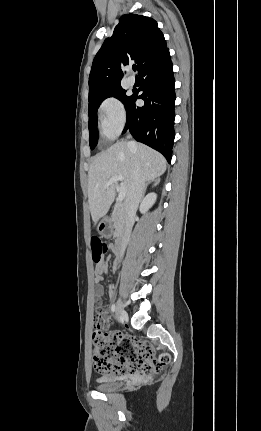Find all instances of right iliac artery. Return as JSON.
<instances>
[{"label":"right iliac artery","mask_w":261,"mask_h":431,"mask_svg":"<svg viewBox=\"0 0 261 431\" xmlns=\"http://www.w3.org/2000/svg\"><path fill=\"white\" fill-rule=\"evenodd\" d=\"M111 310H112V312H113V313L116 311V306H115V304H112V306H111Z\"/></svg>","instance_id":"right-iliac-artery-1"}]
</instances>
